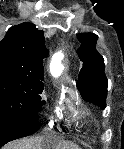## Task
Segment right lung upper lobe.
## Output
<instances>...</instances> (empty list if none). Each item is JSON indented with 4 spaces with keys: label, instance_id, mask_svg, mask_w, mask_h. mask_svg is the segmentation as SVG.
<instances>
[{
    "label": "right lung upper lobe",
    "instance_id": "cb5924a9",
    "mask_svg": "<svg viewBox=\"0 0 124 149\" xmlns=\"http://www.w3.org/2000/svg\"><path fill=\"white\" fill-rule=\"evenodd\" d=\"M47 55L42 30L29 22L15 25L0 42V73L14 76L26 85L44 88L43 58Z\"/></svg>",
    "mask_w": 124,
    "mask_h": 149
}]
</instances>
